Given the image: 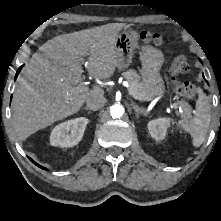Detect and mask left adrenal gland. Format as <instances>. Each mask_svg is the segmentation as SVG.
I'll return each instance as SVG.
<instances>
[{
    "label": "left adrenal gland",
    "mask_w": 221,
    "mask_h": 221,
    "mask_svg": "<svg viewBox=\"0 0 221 221\" xmlns=\"http://www.w3.org/2000/svg\"><path fill=\"white\" fill-rule=\"evenodd\" d=\"M131 106L135 110L137 118H139L140 114H143L144 116L146 115V113L144 112V108L137 106L135 103H132Z\"/></svg>",
    "instance_id": "obj_1"
}]
</instances>
